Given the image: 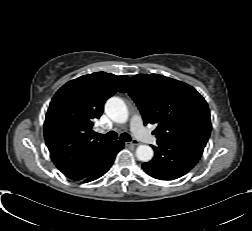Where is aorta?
Wrapping results in <instances>:
<instances>
[{"instance_id": "1", "label": "aorta", "mask_w": 252, "mask_h": 231, "mask_svg": "<svg viewBox=\"0 0 252 231\" xmlns=\"http://www.w3.org/2000/svg\"><path fill=\"white\" fill-rule=\"evenodd\" d=\"M107 116L117 123H125L129 114L125 102L119 97H111L105 104ZM153 149L148 145H139L136 149V157L142 162H149L153 158Z\"/></svg>"}]
</instances>
